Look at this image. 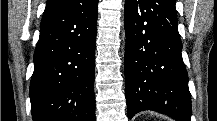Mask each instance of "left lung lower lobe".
<instances>
[{
    "label": "left lung lower lobe",
    "instance_id": "left-lung-lower-lobe-1",
    "mask_svg": "<svg viewBox=\"0 0 217 121\" xmlns=\"http://www.w3.org/2000/svg\"><path fill=\"white\" fill-rule=\"evenodd\" d=\"M124 24L128 117L153 110L176 121H190L175 0H125Z\"/></svg>",
    "mask_w": 217,
    "mask_h": 121
}]
</instances>
